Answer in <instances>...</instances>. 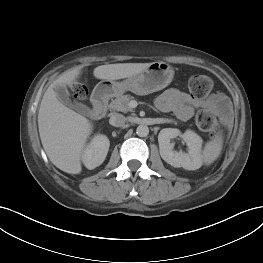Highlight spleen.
Returning a JSON list of instances; mask_svg holds the SVG:
<instances>
[{"mask_svg":"<svg viewBox=\"0 0 263 263\" xmlns=\"http://www.w3.org/2000/svg\"><path fill=\"white\" fill-rule=\"evenodd\" d=\"M222 150V138L217 137L214 140L208 142L203 150L202 159L206 164H211L220 155Z\"/></svg>","mask_w":263,"mask_h":263,"instance_id":"3e777b00","label":"spleen"}]
</instances>
